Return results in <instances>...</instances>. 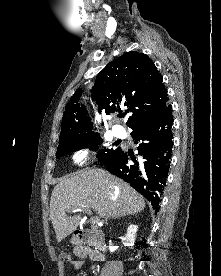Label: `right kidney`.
<instances>
[{"label": "right kidney", "mask_w": 221, "mask_h": 276, "mask_svg": "<svg viewBox=\"0 0 221 276\" xmlns=\"http://www.w3.org/2000/svg\"><path fill=\"white\" fill-rule=\"evenodd\" d=\"M137 230H138L137 225L132 224L128 227L127 233H126L125 238H124L126 246H133L134 245Z\"/></svg>", "instance_id": "obj_1"}]
</instances>
